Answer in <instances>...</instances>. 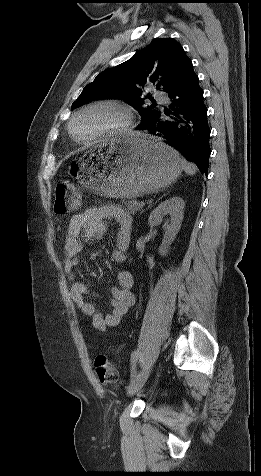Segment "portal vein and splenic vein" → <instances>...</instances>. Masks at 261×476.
I'll list each match as a JSON object with an SVG mask.
<instances>
[{"instance_id": "18ae733b", "label": "portal vein and splenic vein", "mask_w": 261, "mask_h": 476, "mask_svg": "<svg viewBox=\"0 0 261 476\" xmlns=\"http://www.w3.org/2000/svg\"><path fill=\"white\" fill-rule=\"evenodd\" d=\"M139 205L144 206V205H145V202H144V201H140V202H139Z\"/></svg>"}]
</instances>
